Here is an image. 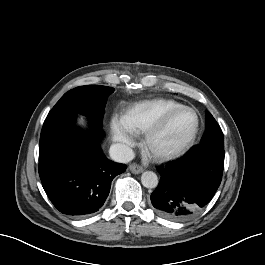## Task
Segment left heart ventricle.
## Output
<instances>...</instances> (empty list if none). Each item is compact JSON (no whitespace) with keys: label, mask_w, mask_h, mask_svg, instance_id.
<instances>
[{"label":"left heart ventricle","mask_w":265,"mask_h":265,"mask_svg":"<svg viewBox=\"0 0 265 265\" xmlns=\"http://www.w3.org/2000/svg\"><path fill=\"white\" fill-rule=\"evenodd\" d=\"M195 126V116L190 111H182L174 115L166 124L156 140L161 148L173 147L184 142Z\"/></svg>","instance_id":"left-heart-ventricle-1"}]
</instances>
